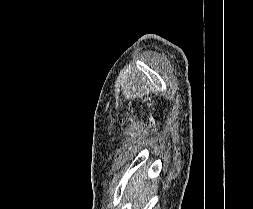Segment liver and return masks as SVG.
I'll use <instances>...</instances> for the list:
<instances>
[{"label":"liver","instance_id":"6515ba94","mask_svg":"<svg viewBox=\"0 0 253 209\" xmlns=\"http://www.w3.org/2000/svg\"><path fill=\"white\" fill-rule=\"evenodd\" d=\"M129 186L131 187V196H133L137 202H143L146 194L149 191V186L144 184L143 177H140L139 174H136L135 177L132 178Z\"/></svg>","mask_w":253,"mask_h":209}]
</instances>
